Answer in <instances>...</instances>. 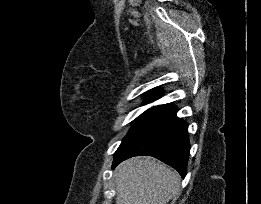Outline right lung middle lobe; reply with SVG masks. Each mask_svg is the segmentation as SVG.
Instances as JSON below:
<instances>
[{
    "mask_svg": "<svg viewBox=\"0 0 261 204\" xmlns=\"http://www.w3.org/2000/svg\"><path fill=\"white\" fill-rule=\"evenodd\" d=\"M146 98V102H152L154 100H156L158 97L157 96H147ZM159 106H155L152 107L150 109H148L147 111H145L144 113H142L139 117H137L133 123H132V128L130 129V131L128 132V134H130L136 127H138L148 116H150ZM127 134V135H128ZM126 135V136H127Z\"/></svg>",
    "mask_w": 261,
    "mask_h": 204,
    "instance_id": "right-lung-middle-lobe-1",
    "label": "right lung middle lobe"
}]
</instances>
